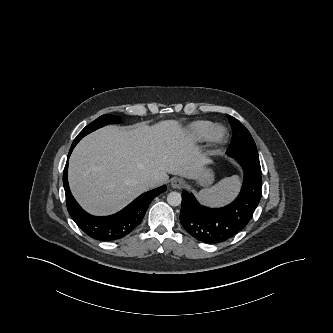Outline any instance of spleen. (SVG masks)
<instances>
[{
  "label": "spleen",
  "mask_w": 333,
  "mask_h": 333,
  "mask_svg": "<svg viewBox=\"0 0 333 333\" xmlns=\"http://www.w3.org/2000/svg\"><path fill=\"white\" fill-rule=\"evenodd\" d=\"M239 186L237 176L223 179L215 186L201 190L198 194L199 200L208 205H221L227 203L236 194Z\"/></svg>",
  "instance_id": "1"
}]
</instances>
